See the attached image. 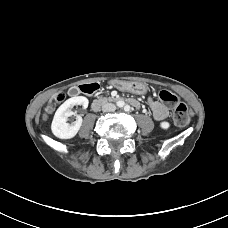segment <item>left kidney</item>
I'll use <instances>...</instances> for the list:
<instances>
[{
    "label": "left kidney",
    "mask_w": 228,
    "mask_h": 228,
    "mask_svg": "<svg viewBox=\"0 0 228 228\" xmlns=\"http://www.w3.org/2000/svg\"><path fill=\"white\" fill-rule=\"evenodd\" d=\"M160 127L162 129H168L170 127V124L167 121H163V122L160 123Z\"/></svg>",
    "instance_id": "5707ae66"
}]
</instances>
